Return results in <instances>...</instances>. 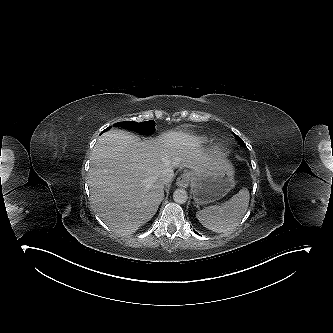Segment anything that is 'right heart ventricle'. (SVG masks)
I'll list each match as a JSON object with an SVG mask.
<instances>
[{"instance_id":"1","label":"right heart ventricle","mask_w":333,"mask_h":333,"mask_svg":"<svg viewBox=\"0 0 333 333\" xmlns=\"http://www.w3.org/2000/svg\"><path fill=\"white\" fill-rule=\"evenodd\" d=\"M208 140H207V138H205V137H200V138H198V143L199 144H204V143H206Z\"/></svg>"}]
</instances>
